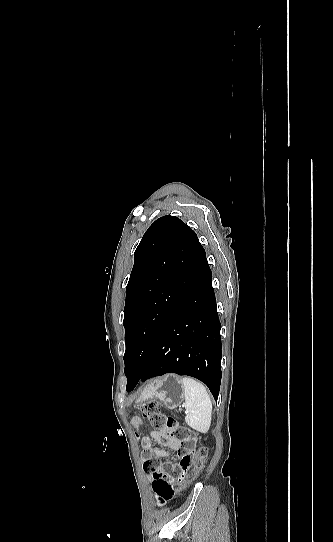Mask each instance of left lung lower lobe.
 I'll return each mask as SVG.
<instances>
[{
	"mask_svg": "<svg viewBox=\"0 0 333 542\" xmlns=\"http://www.w3.org/2000/svg\"><path fill=\"white\" fill-rule=\"evenodd\" d=\"M221 357L220 321L207 262L159 332L143 371L127 381L126 389L130 392L139 381L176 373L201 380L217 400Z\"/></svg>",
	"mask_w": 333,
	"mask_h": 542,
	"instance_id": "0a47b994",
	"label": "left lung lower lobe"
}]
</instances>
